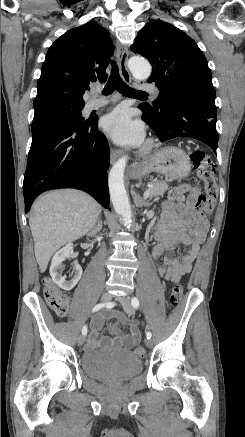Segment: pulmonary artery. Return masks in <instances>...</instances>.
Listing matches in <instances>:
<instances>
[{
    "label": "pulmonary artery",
    "mask_w": 245,
    "mask_h": 437,
    "mask_svg": "<svg viewBox=\"0 0 245 437\" xmlns=\"http://www.w3.org/2000/svg\"><path fill=\"white\" fill-rule=\"evenodd\" d=\"M140 89L144 90V91H150L152 92L154 95H158L159 90L158 88L154 85V84H143L140 86ZM109 103V101L107 99H93L90 100L87 104H86V109L91 111V110H95L98 108H101L105 105H107Z\"/></svg>",
    "instance_id": "obj_1"
}]
</instances>
